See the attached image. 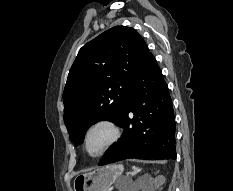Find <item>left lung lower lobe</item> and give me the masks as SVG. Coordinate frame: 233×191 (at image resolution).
Instances as JSON below:
<instances>
[{
    "mask_svg": "<svg viewBox=\"0 0 233 191\" xmlns=\"http://www.w3.org/2000/svg\"><path fill=\"white\" fill-rule=\"evenodd\" d=\"M130 112L133 118L129 117ZM119 125L124 134L99 165L129 158L176 159L172 100L151 53L131 84Z\"/></svg>",
    "mask_w": 233,
    "mask_h": 191,
    "instance_id": "obj_1",
    "label": "left lung lower lobe"
}]
</instances>
